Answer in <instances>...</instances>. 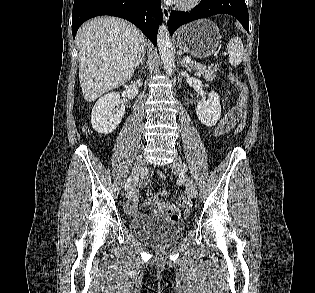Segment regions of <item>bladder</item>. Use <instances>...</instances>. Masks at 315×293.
<instances>
[{
    "label": "bladder",
    "instance_id": "1",
    "mask_svg": "<svg viewBox=\"0 0 315 293\" xmlns=\"http://www.w3.org/2000/svg\"><path fill=\"white\" fill-rule=\"evenodd\" d=\"M130 230L137 237L152 246L165 247L174 244L185 232L182 221H174L161 216H142L133 218Z\"/></svg>",
    "mask_w": 315,
    "mask_h": 293
}]
</instances>
